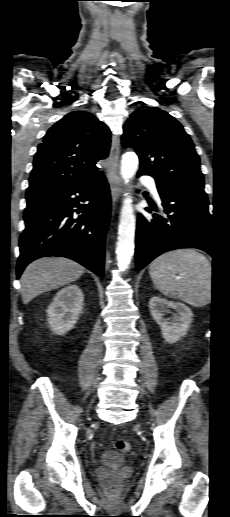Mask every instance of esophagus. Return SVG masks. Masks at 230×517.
<instances>
[{
    "label": "esophagus",
    "mask_w": 230,
    "mask_h": 517,
    "mask_svg": "<svg viewBox=\"0 0 230 517\" xmlns=\"http://www.w3.org/2000/svg\"><path fill=\"white\" fill-rule=\"evenodd\" d=\"M119 156H120V140L117 135H113L110 155L108 158V180L110 183L113 209H116V204L123 193V182L119 175Z\"/></svg>",
    "instance_id": "34e87169"
}]
</instances>
